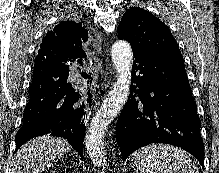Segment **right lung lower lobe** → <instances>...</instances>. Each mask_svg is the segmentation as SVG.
Returning <instances> with one entry per match:
<instances>
[{"mask_svg": "<svg viewBox=\"0 0 219 173\" xmlns=\"http://www.w3.org/2000/svg\"><path fill=\"white\" fill-rule=\"evenodd\" d=\"M41 61L34 65L29 101L23 113V125L16 134V151L26 141L45 134L63 137L83 159L86 120L92 102L90 91H77L68 82L67 62ZM82 59H78L81 62ZM81 76L91 83V74Z\"/></svg>", "mask_w": 219, "mask_h": 173, "instance_id": "1", "label": "right lung lower lobe"}]
</instances>
